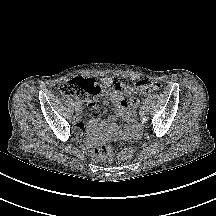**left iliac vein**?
Here are the masks:
<instances>
[{"label":"left iliac vein","mask_w":216,"mask_h":216,"mask_svg":"<svg viewBox=\"0 0 216 216\" xmlns=\"http://www.w3.org/2000/svg\"><path fill=\"white\" fill-rule=\"evenodd\" d=\"M146 114H147V106L144 104V105H142L141 108H140V115H141V116H144V115H146Z\"/></svg>","instance_id":"left-iliac-vein-1"}]
</instances>
